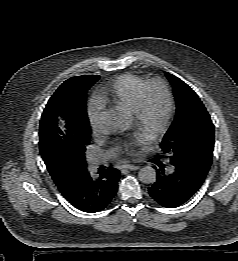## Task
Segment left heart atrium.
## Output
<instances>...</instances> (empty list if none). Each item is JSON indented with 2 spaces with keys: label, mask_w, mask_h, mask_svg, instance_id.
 Wrapping results in <instances>:
<instances>
[{
  "label": "left heart atrium",
  "mask_w": 238,
  "mask_h": 261,
  "mask_svg": "<svg viewBox=\"0 0 238 261\" xmlns=\"http://www.w3.org/2000/svg\"><path fill=\"white\" fill-rule=\"evenodd\" d=\"M150 139L149 133L144 131L136 132L123 142L122 149L129 154H134L136 147L147 144Z\"/></svg>",
  "instance_id": "1"
}]
</instances>
